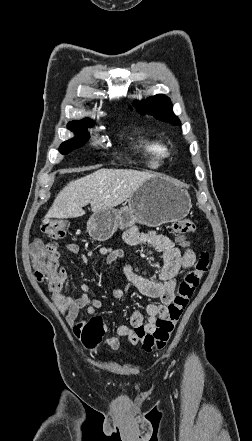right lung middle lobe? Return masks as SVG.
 I'll list each match as a JSON object with an SVG mask.
<instances>
[{
    "label": "right lung middle lobe",
    "instance_id": "obj_1",
    "mask_svg": "<svg viewBox=\"0 0 252 441\" xmlns=\"http://www.w3.org/2000/svg\"><path fill=\"white\" fill-rule=\"evenodd\" d=\"M93 124H86L80 122H69L68 129L76 134L73 139L63 142L60 146V153L66 155L75 148H79L84 145L90 138L87 133L86 127H91Z\"/></svg>",
    "mask_w": 252,
    "mask_h": 441
}]
</instances>
